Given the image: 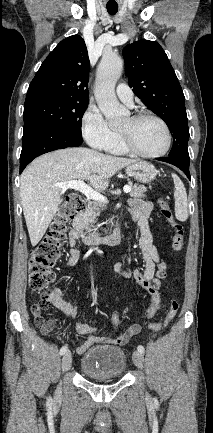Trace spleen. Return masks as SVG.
Here are the masks:
<instances>
[{
	"instance_id": "1",
	"label": "spleen",
	"mask_w": 213,
	"mask_h": 433,
	"mask_svg": "<svg viewBox=\"0 0 213 433\" xmlns=\"http://www.w3.org/2000/svg\"><path fill=\"white\" fill-rule=\"evenodd\" d=\"M172 178L175 185V216L179 221H186L188 218V200L186 189L183 182L176 174H172Z\"/></svg>"
}]
</instances>
